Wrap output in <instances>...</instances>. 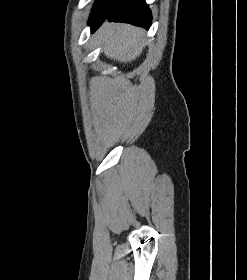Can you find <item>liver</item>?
<instances>
[{
	"mask_svg": "<svg viewBox=\"0 0 247 280\" xmlns=\"http://www.w3.org/2000/svg\"><path fill=\"white\" fill-rule=\"evenodd\" d=\"M145 31L123 23H104L97 32L99 44L107 58L131 62L141 53Z\"/></svg>",
	"mask_w": 247,
	"mask_h": 280,
	"instance_id": "obj_1",
	"label": "liver"
}]
</instances>
